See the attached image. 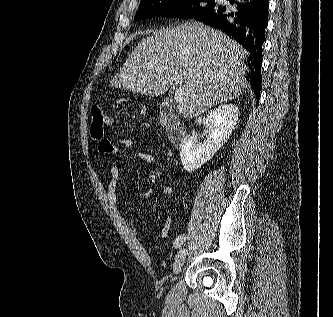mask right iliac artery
Segmentation results:
<instances>
[{
	"instance_id": "1",
	"label": "right iliac artery",
	"mask_w": 333,
	"mask_h": 317,
	"mask_svg": "<svg viewBox=\"0 0 333 317\" xmlns=\"http://www.w3.org/2000/svg\"><path fill=\"white\" fill-rule=\"evenodd\" d=\"M186 238L187 237L184 234L178 236L174 243L175 248H179L186 241Z\"/></svg>"
}]
</instances>
